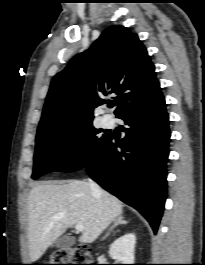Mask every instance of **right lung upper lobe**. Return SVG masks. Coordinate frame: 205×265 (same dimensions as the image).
I'll list each match as a JSON object with an SVG mask.
<instances>
[{"label": "right lung upper lobe", "instance_id": "right-lung-upper-lobe-1", "mask_svg": "<svg viewBox=\"0 0 205 265\" xmlns=\"http://www.w3.org/2000/svg\"><path fill=\"white\" fill-rule=\"evenodd\" d=\"M160 91L155 67L137 34L110 26L89 50L76 55L53 78L38 130L66 122L93 120L105 103L100 94L115 93L116 116L136 108Z\"/></svg>", "mask_w": 205, "mask_h": 265}]
</instances>
